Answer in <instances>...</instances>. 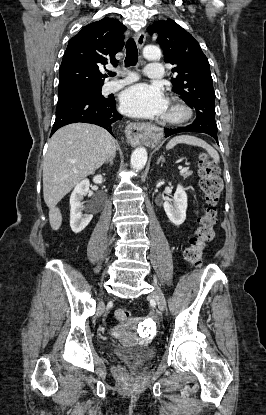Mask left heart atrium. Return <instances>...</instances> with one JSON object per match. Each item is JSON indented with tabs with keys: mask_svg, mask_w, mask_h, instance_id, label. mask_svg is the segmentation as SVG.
I'll list each match as a JSON object with an SVG mask.
<instances>
[{
	"mask_svg": "<svg viewBox=\"0 0 266 415\" xmlns=\"http://www.w3.org/2000/svg\"><path fill=\"white\" fill-rule=\"evenodd\" d=\"M121 108L129 116L151 118L164 115L168 101L160 86L141 83L122 93Z\"/></svg>",
	"mask_w": 266,
	"mask_h": 415,
	"instance_id": "39dd6f15",
	"label": "left heart atrium"
}]
</instances>
